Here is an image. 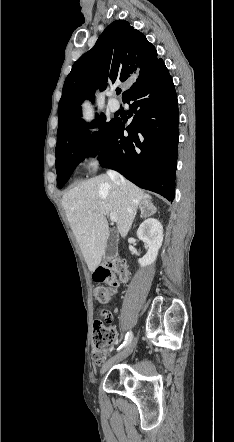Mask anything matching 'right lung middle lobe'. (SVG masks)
Instances as JSON below:
<instances>
[{
    "label": "right lung middle lobe",
    "instance_id": "obj_1",
    "mask_svg": "<svg viewBox=\"0 0 234 442\" xmlns=\"http://www.w3.org/2000/svg\"><path fill=\"white\" fill-rule=\"evenodd\" d=\"M98 119L99 115L96 116V123L91 124V126H100L97 133L88 135L87 125L84 123L67 142L56 148V172L59 188H62L68 181L78 162L83 161L87 155L94 156L103 150L116 120L105 122L104 114L99 122Z\"/></svg>",
    "mask_w": 234,
    "mask_h": 442
}]
</instances>
